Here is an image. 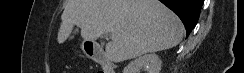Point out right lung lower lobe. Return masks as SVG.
I'll return each instance as SVG.
<instances>
[{"mask_svg":"<svg viewBox=\"0 0 244 73\" xmlns=\"http://www.w3.org/2000/svg\"><path fill=\"white\" fill-rule=\"evenodd\" d=\"M174 11L183 22L187 36L198 22L203 0H159Z\"/></svg>","mask_w":244,"mask_h":73,"instance_id":"obj_1","label":"right lung lower lobe"}]
</instances>
